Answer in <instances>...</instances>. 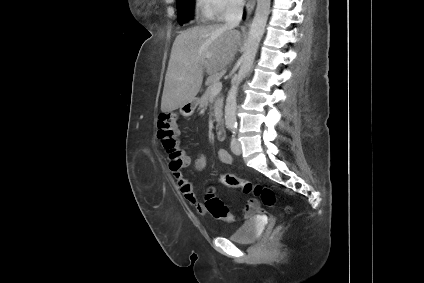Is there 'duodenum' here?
<instances>
[{
	"instance_id": "duodenum-1",
	"label": "duodenum",
	"mask_w": 424,
	"mask_h": 283,
	"mask_svg": "<svg viewBox=\"0 0 424 283\" xmlns=\"http://www.w3.org/2000/svg\"><path fill=\"white\" fill-rule=\"evenodd\" d=\"M224 127H225V123L223 118H219L215 126V134L219 140L223 139Z\"/></svg>"
}]
</instances>
